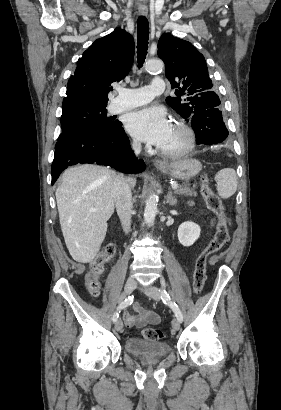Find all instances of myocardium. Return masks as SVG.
Instances as JSON below:
<instances>
[{
  "label": "myocardium",
  "instance_id": "obj_1",
  "mask_svg": "<svg viewBox=\"0 0 281 410\" xmlns=\"http://www.w3.org/2000/svg\"><path fill=\"white\" fill-rule=\"evenodd\" d=\"M173 125L178 127L184 133L186 137V142L181 148L177 150H173V151L158 148V152L162 156L167 157V158H177V157H181V156L188 154L190 151L193 150L195 146V142H196V136H195L194 130L185 121L176 119L173 121Z\"/></svg>",
  "mask_w": 281,
  "mask_h": 410
}]
</instances>
